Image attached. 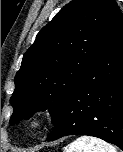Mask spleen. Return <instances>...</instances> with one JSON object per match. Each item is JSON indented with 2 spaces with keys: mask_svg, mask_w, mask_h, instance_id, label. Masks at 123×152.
I'll return each instance as SVG.
<instances>
[{
  "mask_svg": "<svg viewBox=\"0 0 123 152\" xmlns=\"http://www.w3.org/2000/svg\"><path fill=\"white\" fill-rule=\"evenodd\" d=\"M64 152H117L105 141L91 136H81L64 148Z\"/></svg>",
  "mask_w": 123,
  "mask_h": 152,
  "instance_id": "3e777b00",
  "label": "spleen"
}]
</instances>
